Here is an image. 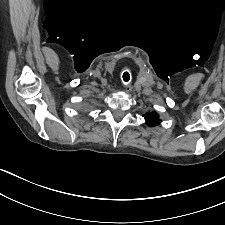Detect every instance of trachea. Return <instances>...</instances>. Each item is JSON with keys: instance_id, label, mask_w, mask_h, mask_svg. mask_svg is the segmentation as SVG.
Returning a JSON list of instances; mask_svg holds the SVG:
<instances>
[{"instance_id": "trachea-1", "label": "trachea", "mask_w": 225, "mask_h": 225, "mask_svg": "<svg viewBox=\"0 0 225 225\" xmlns=\"http://www.w3.org/2000/svg\"><path fill=\"white\" fill-rule=\"evenodd\" d=\"M129 79H130L129 73L128 72H124L123 73V80H124V82H128Z\"/></svg>"}]
</instances>
